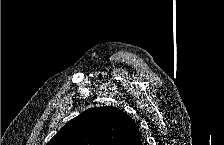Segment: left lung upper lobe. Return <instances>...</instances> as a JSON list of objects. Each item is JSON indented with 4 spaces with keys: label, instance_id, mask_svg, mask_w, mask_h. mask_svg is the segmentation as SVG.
I'll return each instance as SVG.
<instances>
[{
    "label": "left lung upper lobe",
    "instance_id": "1",
    "mask_svg": "<svg viewBox=\"0 0 224 145\" xmlns=\"http://www.w3.org/2000/svg\"><path fill=\"white\" fill-rule=\"evenodd\" d=\"M135 121L122 110L103 106L88 109L70 120L48 145H138Z\"/></svg>",
    "mask_w": 224,
    "mask_h": 145
}]
</instances>
